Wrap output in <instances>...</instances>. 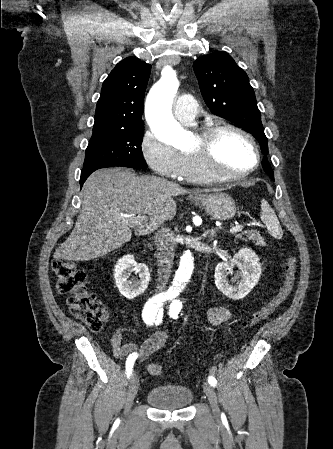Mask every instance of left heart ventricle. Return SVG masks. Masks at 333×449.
<instances>
[{
	"label": "left heart ventricle",
	"instance_id": "left-heart-ventricle-1",
	"mask_svg": "<svg viewBox=\"0 0 333 449\" xmlns=\"http://www.w3.org/2000/svg\"><path fill=\"white\" fill-rule=\"evenodd\" d=\"M198 139L193 150L198 147ZM255 153L249 142L234 132H223L215 140L212 165L224 174H236L253 166Z\"/></svg>",
	"mask_w": 333,
	"mask_h": 449
}]
</instances>
